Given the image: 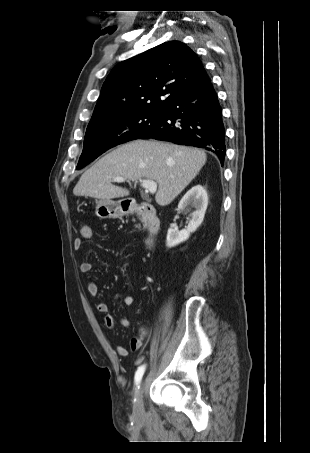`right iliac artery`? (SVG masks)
Here are the masks:
<instances>
[{
  "label": "right iliac artery",
  "mask_w": 310,
  "mask_h": 453,
  "mask_svg": "<svg viewBox=\"0 0 310 453\" xmlns=\"http://www.w3.org/2000/svg\"><path fill=\"white\" fill-rule=\"evenodd\" d=\"M144 371H145V365H141V366L137 369V371H136V373H135V384H136V386L139 385V383H140V381H141V379H142V376H143V374H144Z\"/></svg>",
  "instance_id": "82829eb1"
}]
</instances>
